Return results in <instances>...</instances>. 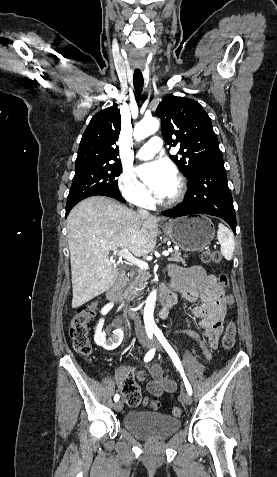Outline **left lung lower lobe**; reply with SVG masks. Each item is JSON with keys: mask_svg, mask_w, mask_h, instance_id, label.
Segmentation results:
<instances>
[{"mask_svg": "<svg viewBox=\"0 0 277 477\" xmlns=\"http://www.w3.org/2000/svg\"><path fill=\"white\" fill-rule=\"evenodd\" d=\"M208 214L222 218L236 234V216L233 199L227 185L223 160H214L199 166L188 180L187 200L181 206L163 211L162 215L178 217Z\"/></svg>", "mask_w": 277, "mask_h": 477, "instance_id": "obj_1", "label": "left lung lower lobe"}]
</instances>
